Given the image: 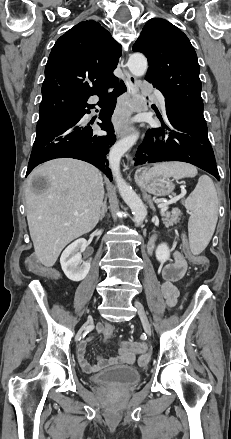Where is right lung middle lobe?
Segmentation results:
<instances>
[{
  "label": "right lung middle lobe",
  "mask_w": 231,
  "mask_h": 439,
  "mask_svg": "<svg viewBox=\"0 0 231 439\" xmlns=\"http://www.w3.org/2000/svg\"><path fill=\"white\" fill-rule=\"evenodd\" d=\"M58 117V116H57ZM55 118V117H54ZM49 120V119H48ZM44 121H46V120H44ZM40 122H43V121H38V123H40Z\"/></svg>",
  "instance_id": "right-lung-middle-lobe-1"
}]
</instances>
